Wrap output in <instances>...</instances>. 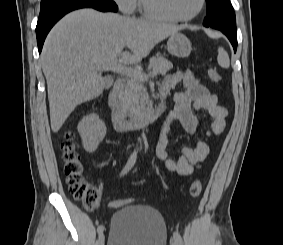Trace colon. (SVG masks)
Instances as JSON below:
<instances>
[{
    "label": "colon",
    "mask_w": 283,
    "mask_h": 245,
    "mask_svg": "<svg viewBox=\"0 0 283 245\" xmlns=\"http://www.w3.org/2000/svg\"><path fill=\"white\" fill-rule=\"evenodd\" d=\"M208 76L213 83H220L222 80V76L218 70L212 67L208 68ZM73 139V133L68 132L61 144L63 169L66 175V181L73 198L81 202L87 210H92L97 204V191L83 178V165ZM201 192V182L198 180L193 181L189 188L190 196L197 198L200 196ZM128 204L129 201L127 200H112L108 203L112 208H119Z\"/></svg>",
    "instance_id": "obj_1"
}]
</instances>
